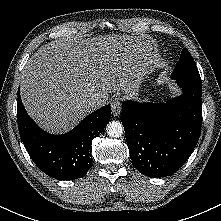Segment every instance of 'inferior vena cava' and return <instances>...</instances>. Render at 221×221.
Here are the masks:
<instances>
[{"instance_id": "obj_1", "label": "inferior vena cava", "mask_w": 221, "mask_h": 221, "mask_svg": "<svg viewBox=\"0 0 221 221\" xmlns=\"http://www.w3.org/2000/svg\"><path fill=\"white\" fill-rule=\"evenodd\" d=\"M88 104L91 106V107H100L102 105H104V102L102 99H100L99 97H95V98H91L88 100Z\"/></svg>"}]
</instances>
